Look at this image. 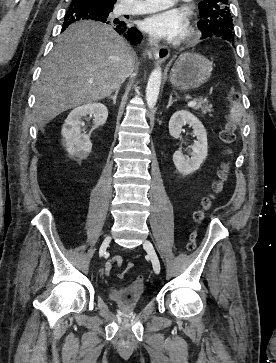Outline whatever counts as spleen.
Wrapping results in <instances>:
<instances>
[{
    "mask_svg": "<svg viewBox=\"0 0 276 363\" xmlns=\"http://www.w3.org/2000/svg\"><path fill=\"white\" fill-rule=\"evenodd\" d=\"M230 117L234 123L240 124L242 118V106L240 105V103H233V106L230 109Z\"/></svg>",
    "mask_w": 276,
    "mask_h": 363,
    "instance_id": "1",
    "label": "spleen"
}]
</instances>
